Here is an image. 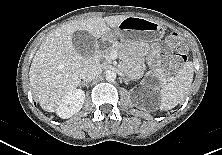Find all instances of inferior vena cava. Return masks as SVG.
I'll use <instances>...</instances> for the list:
<instances>
[{"label": "inferior vena cava", "instance_id": "602c4592", "mask_svg": "<svg viewBox=\"0 0 222 155\" xmlns=\"http://www.w3.org/2000/svg\"><path fill=\"white\" fill-rule=\"evenodd\" d=\"M102 72V66L100 64H91L85 67L81 73V78L88 82L100 75Z\"/></svg>", "mask_w": 222, "mask_h": 155}]
</instances>
